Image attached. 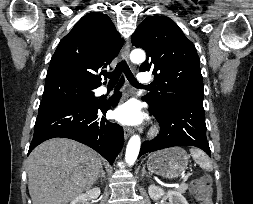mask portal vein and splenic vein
<instances>
[{
	"label": "portal vein and splenic vein",
	"mask_w": 253,
	"mask_h": 204,
	"mask_svg": "<svg viewBox=\"0 0 253 204\" xmlns=\"http://www.w3.org/2000/svg\"><path fill=\"white\" fill-rule=\"evenodd\" d=\"M187 179H188V176H187V175H184V176H183V181L185 182Z\"/></svg>",
	"instance_id": "obj_1"
}]
</instances>
